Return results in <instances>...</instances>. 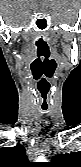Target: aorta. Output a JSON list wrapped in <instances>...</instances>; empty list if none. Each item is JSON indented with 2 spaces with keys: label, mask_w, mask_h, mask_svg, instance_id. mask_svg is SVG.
Segmentation results:
<instances>
[{
  "label": "aorta",
  "mask_w": 81,
  "mask_h": 167,
  "mask_svg": "<svg viewBox=\"0 0 81 167\" xmlns=\"http://www.w3.org/2000/svg\"><path fill=\"white\" fill-rule=\"evenodd\" d=\"M37 160L45 161L46 159L44 157H39Z\"/></svg>",
  "instance_id": "762f6f07"
}]
</instances>
